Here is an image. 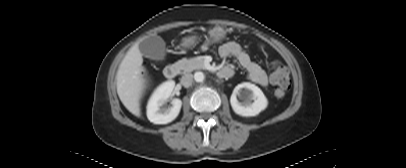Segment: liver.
Wrapping results in <instances>:
<instances>
[{"label":"liver","mask_w":406,"mask_h":168,"mask_svg":"<svg viewBox=\"0 0 406 168\" xmlns=\"http://www.w3.org/2000/svg\"><path fill=\"white\" fill-rule=\"evenodd\" d=\"M142 63V54L135 44L126 53L116 74L117 94L127 110L137 117L141 116L140 100L147 85Z\"/></svg>","instance_id":"1"}]
</instances>
